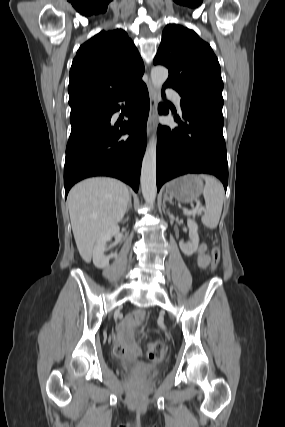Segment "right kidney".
<instances>
[{
	"label": "right kidney",
	"instance_id": "obj_1",
	"mask_svg": "<svg viewBox=\"0 0 285 427\" xmlns=\"http://www.w3.org/2000/svg\"><path fill=\"white\" fill-rule=\"evenodd\" d=\"M119 233V227L114 226L110 228L108 231L104 232L96 241V244L94 246L93 250V263L97 268L104 269L109 266V260L113 257H117V254H111L109 256H106L104 254L105 247L107 241L114 235H117Z\"/></svg>",
	"mask_w": 285,
	"mask_h": 427
}]
</instances>
